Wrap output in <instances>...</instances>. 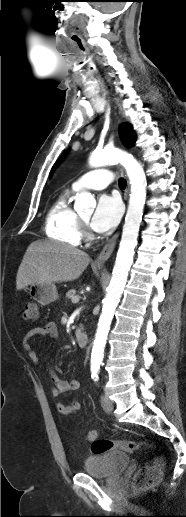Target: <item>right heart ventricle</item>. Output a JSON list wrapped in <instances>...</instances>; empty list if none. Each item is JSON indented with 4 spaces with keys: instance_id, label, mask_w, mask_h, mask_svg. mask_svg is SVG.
<instances>
[{
    "instance_id": "right-heart-ventricle-1",
    "label": "right heart ventricle",
    "mask_w": 186,
    "mask_h": 517,
    "mask_svg": "<svg viewBox=\"0 0 186 517\" xmlns=\"http://www.w3.org/2000/svg\"><path fill=\"white\" fill-rule=\"evenodd\" d=\"M68 190L59 194L51 204L45 220V232L53 240L70 246L82 241V225L78 214L69 203Z\"/></svg>"
}]
</instances>
